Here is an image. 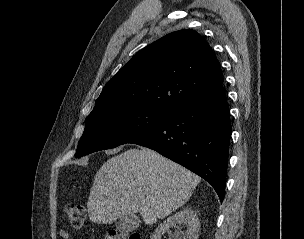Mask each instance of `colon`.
<instances>
[{
	"label": "colon",
	"instance_id": "obj_1",
	"mask_svg": "<svg viewBox=\"0 0 304 239\" xmlns=\"http://www.w3.org/2000/svg\"><path fill=\"white\" fill-rule=\"evenodd\" d=\"M66 217L74 228H81L86 217V210L82 204L69 203L65 207ZM106 239H142L138 232L123 233L116 230H109L106 233Z\"/></svg>",
	"mask_w": 304,
	"mask_h": 239
}]
</instances>
